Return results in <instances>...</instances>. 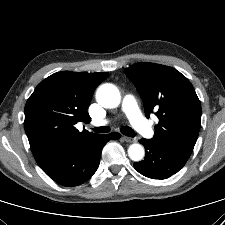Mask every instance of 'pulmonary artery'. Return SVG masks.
I'll return each mask as SVG.
<instances>
[{
  "mask_svg": "<svg viewBox=\"0 0 225 225\" xmlns=\"http://www.w3.org/2000/svg\"><path fill=\"white\" fill-rule=\"evenodd\" d=\"M122 109L128 117L133 127L141 133L145 138L153 136V129L148 121L143 117L135 97L132 94H126L122 101ZM108 121L103 120L98 122L99 125H104Z\"/></svg>",
  "mask_w": 225,
  "mask_h": 225,
  "instance_id": "1",
  "label": "pulmonary artery"
}]
</instances>
